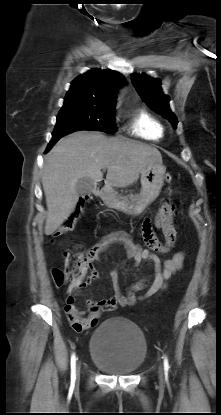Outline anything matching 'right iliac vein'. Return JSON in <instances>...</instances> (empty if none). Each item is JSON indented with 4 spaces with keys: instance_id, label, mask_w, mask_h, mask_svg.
<instances>
[{
    "instance_id": "1",
    "label": "right iliac vein",
    "mask_w": 221,
    "mask_h": 415,
    "mask_svg": "<svg viewBox=\"0 0 221 415\" xmlns=\"http://www.w3.org/2000/svg\"><path fill=\"white\" fill-rule=\"evenodd\" d=\"M75 374H76V377H79V375H80V365H77Z\"/></svg>"
}]
</instances>
